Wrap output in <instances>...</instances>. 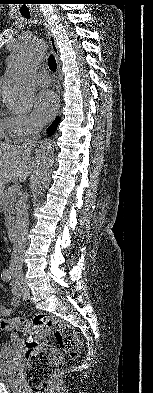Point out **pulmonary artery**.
<instances>
[{
    "instance_id": "obj_1",
    "label": "pulmonary artery",
    "mask_w": 153,
    "mask_h": 393,
    "mask_svg": "<svg viewBox=\"0 0 153 393\" xmlns=\"http://www.w3.org/2000/svg\"><path fill=\"white\" fill-rule=\"evenodd\" d=\"M36 81L39 85L45 87L50 84L51 79L48 73H39L36 76Z\"/></svg>"
}]
</instances>
